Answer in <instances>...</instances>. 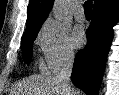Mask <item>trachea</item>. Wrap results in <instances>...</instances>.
Masks as SVG:
<instances>
[{"instance_id": "3493384b", "label": "trachea", "mask_w": 119, "mask_h": 95, "mask_svg": "<svg viewBox=\"0 0 119 95\" xmlns=\"http://www.w3.org/2000/svg\"><path fill=\"white\" fill-rule=\"evenodd\" d=\"M83 6L85 15L92 16V2L86 1Z\"/></svg>"}]
</instances>
